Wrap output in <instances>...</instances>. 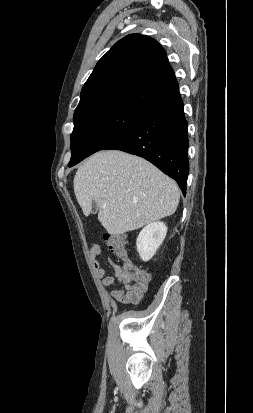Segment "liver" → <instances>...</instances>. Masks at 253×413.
<instances>
[{"instance_id":"6515ba94","label":"liver","mask_w":253,"mask_h":413,"mask_svg":"<svg viewBox=\"0 0 253 413\" xmlns=\"http://www.w3.org/2000/svg\"><path fill=\"white\" fill-rule=\"evenodd\" d=\"M74 192L85 216L93 201L106 231L120 235L172 215L180 192L147 160L118 150L100 151L77 170Z\"/></svg>"}]
</instances>
